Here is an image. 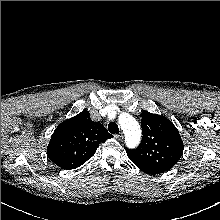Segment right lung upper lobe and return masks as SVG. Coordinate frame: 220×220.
I'll return each instance as SVG.
<instances>
[{
    "label": "right lung upper lobe",
    "mask_w": 220,
    "mask_h": 220,
    "mask_svg": "<svg viewBox=\"0 0 220 220\" xmlns=\"http://www.w3.org/2000/svg\"><path fill=\"white\" fill-rule=\"evenodd\" d=\"M112 137L101 123L90 119L88 111H82L55 129L47 154L61 168L74 169L89 160L100 143Z\"/></svg>",
    "instance_id": "obj_1"
}]
</instances>
